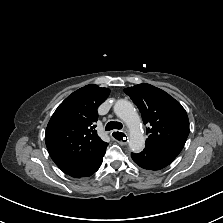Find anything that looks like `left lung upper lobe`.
<instances>
[{
    "label": "left lung upper lobe",
    "instance_id": "5c2ea615",
    "mask_svg": "<svg viewBox=\"0 0 223 223\" xmlns=\"http://www.w3.org/2000/svg\"><path fill=\"white\" fill-rule=\"evenodd\" d=\"M142 113L147 124L146 146L179 155L189 134L185 109L165 91L149 84L124 89Z\"/></svg>",
    "mask_w": 223,
    "mask_h": 223
}]
</instances>
